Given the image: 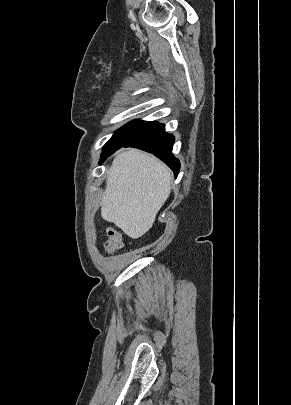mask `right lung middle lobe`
Returning <instances> with one entry per match:
<instances>
[{
    "mask_svg": "<svg viewBox=\"0 0 291 405\" xmlns=\"http://www.w3.org/2000/svg\"><path fill=\"white\" fill-rule=\"evenodd\" d=\"M157 124L158 123L155 121L147 122L134 120L117 130L111 139L105 144L101 155V162H103L104 159H106V157H108L110 154L121 148L124 144L138 137Z\"/></svg>",
    "mask_w": 291,
    "mask_h": 405,
    "instance_id": "dd1d6c3e",
    "label": "right lung middle lobe"
}]
</instances>
